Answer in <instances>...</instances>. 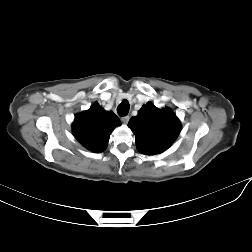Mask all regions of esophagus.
Returning <instances> with one entry per match:
<instances>
[{"label": "esophagus", "instance_id": "34e87169", "mask_svg": "<svg viewBox=\"0 0 252 252\" xmlns=\"http://www.w3.org/2000/svg\"><path fill=\"white\" fill-rule=\"evenodd\" d=\"M121 120H122L123 123L126 124V123H128V121H129V116H128V115L123 116Z\"/></svg>", "mask_w": 252, "mask_h": 252}]
</instances>
